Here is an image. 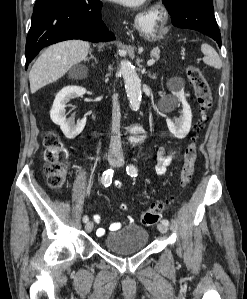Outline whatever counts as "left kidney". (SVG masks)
Wrapping results in <instances>:
<instances>
[{"label": "left kidney", "mask_w": 247, "mask_h": 299, "mask_svg": "<svg viewBox=\"0 0 247 299\" xmlns=\"http://www.w3.org/2000/svg\"><path fill=\"white\" fill-rule=\"evenodd\" d=\"M174 105H179L182 103L183 110L182 115L179 118H175L174 120H171L167 118V126L169 131L174 135V137L178 139L185 138L191 128V122H192V112L189 104L186 101L185 94L183 91L177 92L175 96L173 97Z\"/></svg>", "instance_id": "obj_1"}]
</instances>
